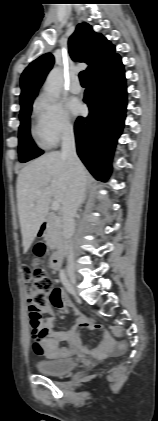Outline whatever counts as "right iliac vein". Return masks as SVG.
<instances>
[{
  "label": "right iliac vein",
  "mask_w": 158,
  "mask_h": 421,
  "mask_svg": "<svg viewBox=\"0 0 158 421\" xmlns=\"http://www.w3.org/2000/svg\"><path fill=\"white\" fill-rule=\"evenodd\" d=\"M67 275H68V278L70 280V283L73 286H76V284H77V277H76L75 271H74V269L72 267H69L67 269Z\"/></svg>",
  "instance_id": "1"
}]
</instances>
